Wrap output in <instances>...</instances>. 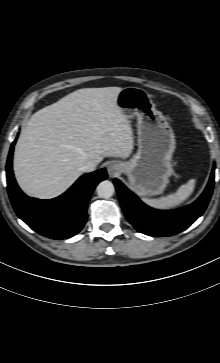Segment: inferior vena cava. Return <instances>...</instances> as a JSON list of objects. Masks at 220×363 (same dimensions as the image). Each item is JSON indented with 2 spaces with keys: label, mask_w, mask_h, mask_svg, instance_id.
Wrapping results in <instances>:
<instances>
[{
  "label": "inferior vena cava",
  "mask_w": 220,
  "mask_h": 363,
  "mask_svg": "<svg viewBox=\"0 0 220 363\" xmlns=\"http://www.w3.org/2000/svg\"><path fill=\"white\" fill-rule=\"evenodd\" d=\"M96 168V164L92 161L86 162L82 167L81 170L84 172H92Z\"/></svg>",
  "instance_id": "602c4592"
}]
</instances>
